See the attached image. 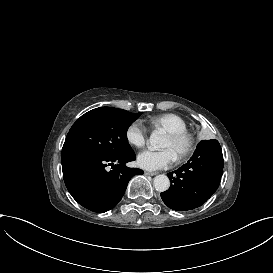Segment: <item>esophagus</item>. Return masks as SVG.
I'll return each mask as SVG.
<instances>
[{
  "label": "esophagus",
  "instance_id": "esophagus-1",
  "mask_svg": "<svg viewBox=\"0 0 273 273\" xmlns=\"http://www.w3.org/2000/svg\"><path fill=\"white\" fill-rule=\"evenodd\" d=\"M144 174H145V175H148V176H154V175L157 174V172L145 171Z\"/></svg>",
  "mask_w": 273,
  "mask_h": 273
}]
</instances>
